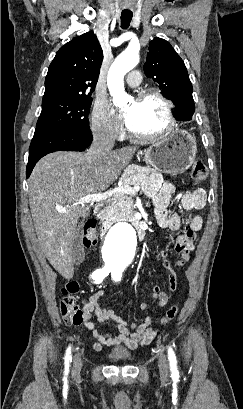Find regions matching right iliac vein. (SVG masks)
<instances>
[{"instance_id":"obj_1","label":"right iliac vein","mask_w":243,"mask_h":409,"mask_svg":"<svg viewBox=\"0 0 243 409\" xmlns=\"http://www.w3.org/2000/svg\"><path fill=\"white\" fill-rule=\"evenodd\" d=\"M82 367V361L80 355L76 354L73 361V375L78 376Z\"/></svg>"}]
</instances>
